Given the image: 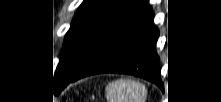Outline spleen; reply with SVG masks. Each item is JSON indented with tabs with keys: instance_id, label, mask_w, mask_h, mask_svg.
I'll return each mask as SVG.
<instances>
[{
	"instance_id": "3e777b00",
	"label": "spleen",
	"mask_w": 221,
	"mask_h": 102,
	"mask_svg": "<svg viewBox=\"0 0 221 102\" xmlns=\"http://www.w3.org/2000/svg\"><path fill=\"white\" fill-rule=\"evenodd\" d=\"M145 86L134 80L118 79L106 86L108 102H145Z\"/></svg>"
}]
</instances>
